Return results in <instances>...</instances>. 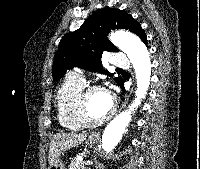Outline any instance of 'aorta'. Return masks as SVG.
<instances>
[{"label": "aorta", "mask_w": 200, "mask_h": 169, "mask_svg": "<svg viewBox=\"0 0 200 169\" xmlns=\"http://www.w3.org/2000/svg\"><path fill=\"white\" fill-rule=\"evenodd\" d=\"M111 42L121 49L130 59L136 74V98L128 110L117 115L104 129L102 148L110 152L121 140L122 135L131 121L134 108L138 107L145 97L151 79L150 55L145 44L139 37L128 32H115L110 35Z\"/></svg>", "instance_id": "762f6f07"}]
</instances>
